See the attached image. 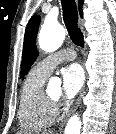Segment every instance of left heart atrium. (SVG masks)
Returning <instances> with one entry per match:
<instances>
[{
  "label": "left heart atrium",
  "instance_id": "1",
  "mask_svg": "<svg viewBox=\"0 0 116 134\" xmlns=\"http://www.w3.org/2000/svg\"><path fill=\"white\" fill-rule=\"evenodd\" d=\"M62 92L64 99L74 98L84 84V71L78 64H71L61 71Z\"/></svg>",
  "mask_w": 116,
  "mask_h": 134
}]
</instances>
